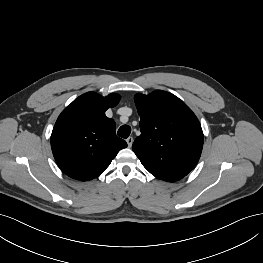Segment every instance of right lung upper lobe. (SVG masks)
Returning a JSON list of instances; mask_svg holds the SVG:
<instances>
[{
  "label": "right lung upper lobe",
  "mask_w": 263,
  "mask_h": 263,
  "mask_svg": "<svg viewBox=\"0 0 263 263\" xmlns=\"http://www.w3.org/2000/svg\"><path fill=\"white\" fill-rule=\"evenodd\" d=\"M119 101L115 93L103 97L87 92L60 114L51 134V148L66 175L82 181L94 179L127 147L116 136L114 120L105 115Z\"/></svg>",
  "instance_id": "1"
}]
</instances>
